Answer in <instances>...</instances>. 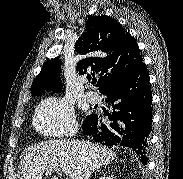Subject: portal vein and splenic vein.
<instances>
[{"mask_svg":"<svg viewBox=\"0 0 183 179\" xmlns=\"http://www.w3.org/2000/svg\"><path fill=\"white\" fill-rule=\"evenodd\" d=\"M51 173H52L51 171L45 172L46 175H50ZM56 173H57L58 175H60V176L62 175L61 171H59V170L56 171Z\"/></svg>","mask_w":183,"mask_h":179,"instance_id":"1","label":"portal vein and splenic vein"}]
</instances>
